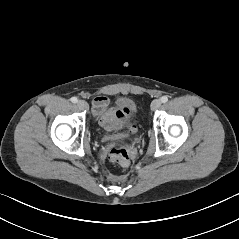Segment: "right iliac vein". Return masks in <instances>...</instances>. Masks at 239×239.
<instances>
[{
  "mask_svg": "<svg viewBox=\"0 0 239 239\" xmlns=\"http://www.w3.org/2000/svg\"><path fill=\"white\" fill-rule=\"evenodd\" d=\"M77 105L81 110H87L88 109V103L84 100H79Z\"/></svg>",
  "mask_w": 239,
  "mask_h": 239,
  "instance_id": "1",
  "label": "right iliac vein"
}]
</instances>
